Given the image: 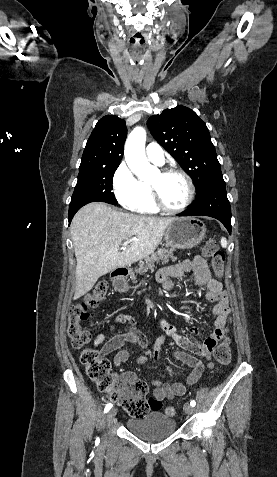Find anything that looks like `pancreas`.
<instances>
[{"mask_svg":"<svg viewBox=\"0 0 277 477\" xmlns=\"http://www.w3.org/2000/svg\"><path fill=\"white\" fill-rule=\"evenodd\" d=\"M173 249H166V248H160L158 249L155 253L151 254L150 256L145 258V264H142L137 268L135 271L139 274H145L148 270L153 271L154 270V264L155 263H160L162 264L168 263L169 260L176 261L177 258L173 256ZM132 278L134 280V283L136 282V276L133 274Z\"/></svg>","mask_w":277,"mask_h":477,"instance_id":"obj_1","label":"pancreas"}]
</instances>
